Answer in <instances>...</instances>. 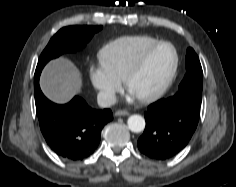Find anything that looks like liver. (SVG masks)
<instances>
[{"label": "liver", "instance_id": "6515ba94", "mask_svg": "<svg viewBox=\"0 0 236 187\" xmlns=\"http://www.w3.org/2000/svg\"><path fill=\"white\" fill-rule=\"evenodd\" d=\"M82 77L78 68L67 58L50 61L40 77V86L47 98L59 104L68 102L80 91Z\"/></svg>", "mask_w": 236, "mask_h": 187}]
</instances>
